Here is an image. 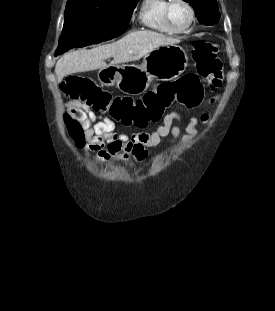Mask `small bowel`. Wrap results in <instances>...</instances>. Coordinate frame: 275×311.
I'll return each mask as SVG.
<instances>
[{
    "mask_svg": "<svg viewBox=\"0 0 275 311\" xmlns=\"http://www.w3.org/2000/svg\"><path fill=\"white\" fill-rule=\"evenodd\" d=\"M210 88L216 89L222 83V74L210 78ZM70 115L76 118L84 129L85 138L88 141L85 157L95 163H112L127 159L130 156L138 161H144L148 157L147 148L161 144L163 138L170 136L168 146L176 142H182L197 134L199 120L191 118L185 133L181 131L182 120L179 112L173 110L163 117L162 124L152 132H137L127 134L115 131L113 121L108 118L100 119L95 115L90 106L77 102L66 104ZM203 118L209 119L210 113L204 112Z\"/></svg>",
    "mask_w": 275,
    "mask_h": 311,
    "instance_id": "small-bowel-1",
    "label": "small bowel"
}]
</instances>
